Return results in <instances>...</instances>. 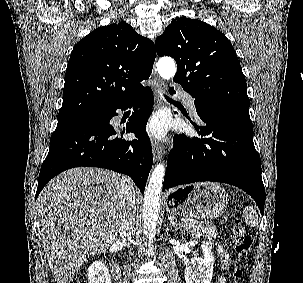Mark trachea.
Here are the masks:
<instances>
[{
  "label": "trachea",
  "mask_w": 303,
  "mask_h": 283,
  "mask_svg": "<svg viewBox=\"0 0 303 283\" xmlns=\"http://www.w3.org/2000/svg\"><path fill=\"white\" fill-rule=\"evenodd\" d=\"M165 98L168 100V101H173L172 99H170L169 97L165 96Z\"/></svg>",
  "instance_id": "3493384b"
}]
</instances>
